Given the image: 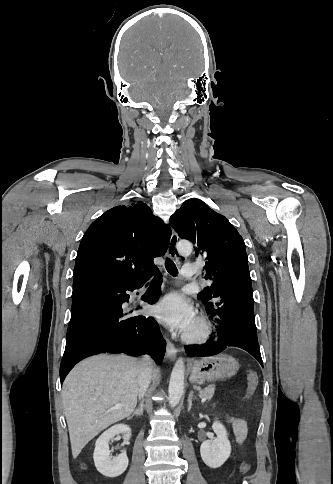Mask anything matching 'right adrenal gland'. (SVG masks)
Returning a JSON list of instances; mask_svg holds the SVG:
<instances>
[{
	"label": "right adrenal gland",
	"instance_id": "obj_1",
	"mask_svg": "<svg viewBox=\"0 0 333 484\" xmlns=\"http://www.w3.org/2000/svg\"><path fill=\"white\" fill-rule=\"evenodd\" d=\"M144 407H145V405H144V403H143V401H142V402L140 403V406H139V407H138V408H137V409L134 411V413H133V414H132L130 417H128V419L133 418V417H134V415H137V416H142V415H143V411H144Z\"/></svg>",
	"mask_w": 333,
	"mask_h": 484
}]
</instances>
